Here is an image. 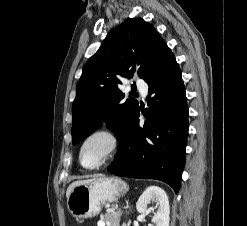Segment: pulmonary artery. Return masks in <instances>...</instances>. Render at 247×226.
I'll return each mask as SVG.
<instances>
[{"mask_svg": "<svg viewBox=\"0 0 247 226\" xmlns=\"http://www.w3.org/2000/svg\"><path fill=\"white\" fill-rule=\"evenodd\" d=\"M135 85L140 90L142 95L145 96L147 93V84L142 80H137Z\"/></svg>", "mask_w": 247, "mask_h": 226, "instance_id": "pulmonary-artery-1", "label": "pulmonary artery"}]
</instances>
